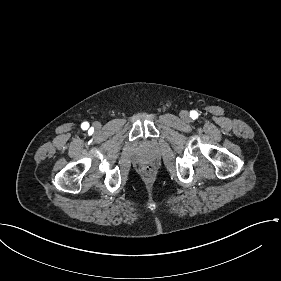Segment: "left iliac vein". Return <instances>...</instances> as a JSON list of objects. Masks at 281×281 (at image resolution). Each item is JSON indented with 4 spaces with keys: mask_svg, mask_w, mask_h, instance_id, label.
<instances>
[{
    "mask_svg": "<svg viewBox=\"0 0 281 281\" xmlns=\"http://www.w3.org/2000/svg\"><path fill=\"white\" fill-rule=\"evenodd\" d=\"M180 116L183 120H188L189 119V113L187 111H182L180 113Z\"/></svg>",
    "mask_w": 281,
    "mask_h": 281,
    "instance_id": "4c4485c4",
    "label": "left iliac vein"
}]
</instances>
